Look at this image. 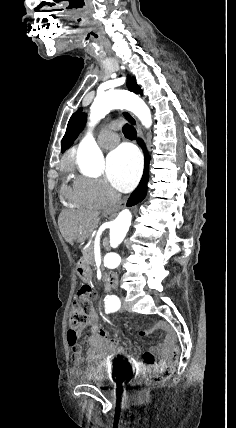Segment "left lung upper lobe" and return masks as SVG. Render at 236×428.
Masks as SVG:
<instances>
[{
    "label": "left lung upper lobe",
    "instance_id": "1",
    "mask_svg": "<svg viewBox=\"0 0 236 428\" xmlns=\"http://www.w3.org/2000/svg\"><path fill=\"white\" fill-rule=\"evenodd\" d=\"M127 87L135 93L142 94V90L136 84V79L134 77L128 80ZM85 122L86 114L82 113V108H80L71 116L68 122L66 133L61 142L62 153L73 144L74 140L82 131Z\"/></svg>",
    "mask_w": 236,
    "mask_h": 428
}]
</instances>
